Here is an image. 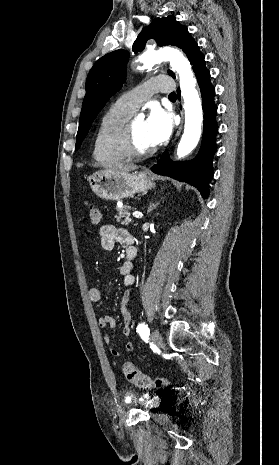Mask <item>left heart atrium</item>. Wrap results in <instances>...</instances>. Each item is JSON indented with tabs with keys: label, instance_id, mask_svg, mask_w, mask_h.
I'll use <instances>...</instances> for the list:
<instances>
[{
	"label": "left heart atrium",
	"instance_id": "1",
	"mask_svg": "<svg viewBox=\"0 0 279 465\" xmlns=\"http://www.w3.org/2000/svg\"><path fill=\"white\" fill-rule=\"evenodd\" d=\"M145 127L152 144L158 145L167 140L172 132L171 116L160 107H153L145 121Z\"/></svg>",
	"mask_w": 279,
	"mask_h": 465
}]
</instances>
